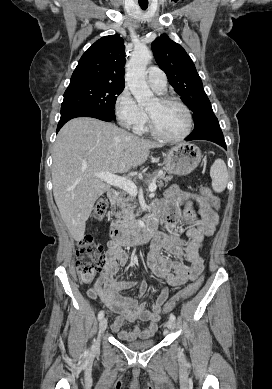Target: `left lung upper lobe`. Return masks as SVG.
I'll return each mask as SVG.
<instances>
[{
    "mask_svg": "<svg viewBox=\"0 0 272 389\" xmlns=\"http://www.w3.org/2000/svg\"><path fill=\"white\" fill-rule=\"evenodd\" d=\"M151 45L156 62L166 73L169 83L193 112V131L215 120L216 116L203 89L201 78L184 48L166 34L156 38Z\"/></svg>",
    "mask_w": 272,
    "mask_h": 389,
    "instance_id": "1",
    "label": "left lung upper lobe"
}]
</instances>
